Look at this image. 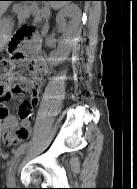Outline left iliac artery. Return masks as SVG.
I'll list each match as a JSON object with an SVG mask.
<instances>
[{
    "mask_svg": "<svg viewBox=\"0 0 137 189\" xmlns=\"http://www.w3.org/2000/svg\"><path fill=\"white\" fill-rule=\"evenodd\" d=\"M29 144L28 143H25V144H22L18 149L17 151L15 152L13 158L11 159V161L9 162V167H8V170H10V167L13 165L14 161L17 159V157L23 153L27 148H28Z\"/></svg>",
    "mask_w": 137,
    "mask_h": 189,
    "instance_id": "obj_1",
    "label": "left iliac artery"
}]
</instances>
